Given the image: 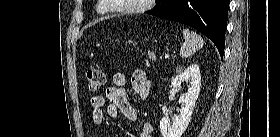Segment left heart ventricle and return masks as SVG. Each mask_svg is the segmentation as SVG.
I'll return each mask as SVG.
<instances>
[{
	"instance_id": "b2bd125f",
	"label": "left heart ventricle",
	"mask_w": 280,
	"mask_h": 137,
	"mask_svg": "<svg viewBox=\"0 0 280 137\" xmlns=\"http://www.w3.org/2000/svg\"><path fill=\"white\" fill-rule=\"evenodd\" d=\"M118 6H134L140 3V0H117Z\"/></svg>"
}]
</instances>
